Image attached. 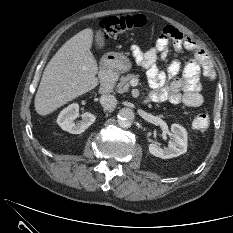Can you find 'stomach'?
<instances>
[{"label": "stomach", "mask_w": 233, "mask_h": 233, "mask_svg": "<svg viewBox=\"0 0 233 233\" xmlns=\"http://www.w3.org/2000/svg\"><path fill=\"white\" fill-rule=\"evenodd\" d=\"M112 67L119 73L128 71L131 68L130 61L122 53H114Z\"/></svg>", "instance_id": "stomach-1"}]
</instances>
